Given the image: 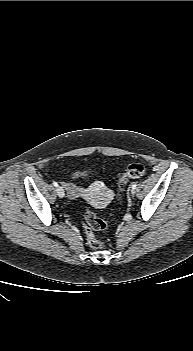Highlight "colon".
I'll return each instance as SVG.
<instances>
[{
	"instance_id": "1",
	"label": "colon",
	"mask_w": 193,
	"mask_h": 351,
	"mask_svg": "<svg viewBox=\"0 0 193 351\" xmlns=\"http://www.w3.org/2000/svg\"><path fill=\"white\" fill-rule=\"evenodd\" d=\"M146 174V167L141 163H134L127 167V169L120 173L117 176V186H118V198L122 200V192L124 187L129 179H138L143 177ZM72 190L74 192H78L81 190V186L79 184H74L72 186ZM108 224L98 218L93 212L87 211L85 214V233L87 236L88 244L91 248L95 250H101L104 248L105 243L96 238L93 234V231H102L107 229Z\"/></svg>"
}]
</instances>
